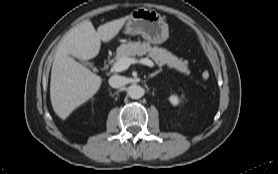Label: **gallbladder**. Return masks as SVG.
<instances>
[{"label": "gallbladder", "instance_id": "bac80fb5", "mask_svg": "<svg viewBox=\"0 0 278 174\" xmlns=\"http://www.w3.org/2000/svg\"><path fill=\"white\" fill-rule=\"evenodd\" d=\"M83 63H84L85 65H88L89 67H92V68H93V66H92V64H91V63L86 62V61H83Z\"/></svg>", "mask_w": 278, "mask_h": 174}]
</instances>
